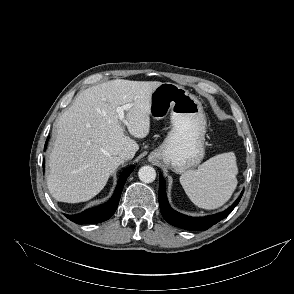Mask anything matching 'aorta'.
<instances>
[{
  "instance_id": "1",
  "label": "aorta",
  "mask_w": 294,
  "mask_h": 294,
  "mask_svg": "<svg viewBox=\"0 0 294 294\" xmlns=\"http://www.w3.org/2000/svg\"><path fill=\"white\" fill-rule=\"evenodd\" d=\"M139 179L144 183H151L156 178V171L151 166H143L138 172Z\"/></svg>"
}]
</instances>
